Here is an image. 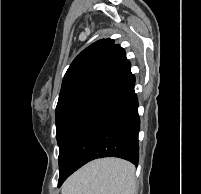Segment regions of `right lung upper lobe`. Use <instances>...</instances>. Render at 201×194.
<instances>
[{
  "label": "right lung upper lobe",
  "mask_w": 201,
  "mask_h": 194,
  "mask_svg": "<svg viewBox=\"0 0 201 194\" xmlns=\"http://www.w3.org/2000/svg\"><path fill=\"white\" fill-rule=\"evenodd\" d=\"M125 51L112 39L84 49L63 78L57 107L79 98H95L131 74Z\"/></svg>",
  "instance_id": "cb5924a9"
}]
</instances>
